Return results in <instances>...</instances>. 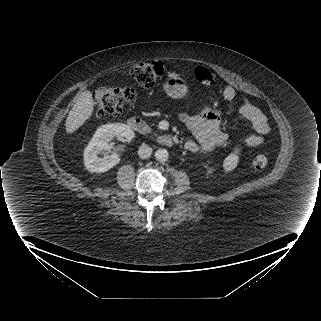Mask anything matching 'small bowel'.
Listing matches in <instances>:
<instances>
[{
    "mask_svg": "<svg viewBox=\"0 0 321 321\" xmlns=\"http://www.w3.org/2000/svg\"><path fill=\"white\" fill-rule=\"evenodd\" d=\"M223 95L226 100L231 101L235 99L236 91L232 87H226ZM239 113L250 122L252 128V133L243 139V146L246 148L260 146L264 135L270 131L266 115L246 98L240 104ZM178 116L192 135V138L185 143L190 153L202 154L227 144L228 136L222 130L220 110L208 108L196 114L181 111Z\"/></svg>",
    "mask_w": 321,
    "mask_h": 321,
    "instance_id": "1",
    "label": "small bowel"
}]
</instances>
